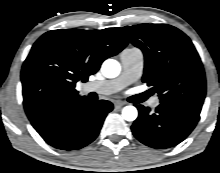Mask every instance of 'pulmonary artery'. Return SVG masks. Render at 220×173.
Here are the masks:
<instances>
[{"label":"pulmonary artery","instance_id":"1","mask_svg":"<svg viewBox=\"0 0 220 173\" xmlns=\"http://www.w3.org/2000/svg\"><path fill=\"white\" fill-rule=\"evenodd\" d=\"M120 58L122 63L120 76L112 80L92 82L89 85L91 91L103 95L113 94L139 78L144 61L142 52L138 49H128L123 51ZM151 104L157 105L158 99L154 98Z\"/></svg>","mask_w":220,"mask_h":173}]
</instances>
